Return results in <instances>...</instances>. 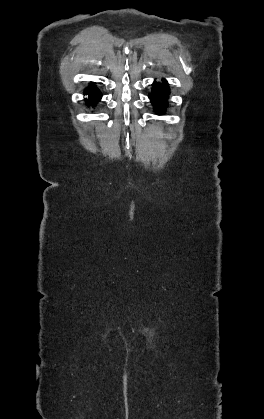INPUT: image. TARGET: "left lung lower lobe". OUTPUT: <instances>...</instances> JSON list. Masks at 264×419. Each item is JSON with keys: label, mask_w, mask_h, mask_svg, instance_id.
<instances>
[{"label": "left lung lower lobe", "mask_w": 264, "mask_h": 419, "mask_svg": "<svg viewBox=\"0 0 264 419\" xmlns=\"http://www.w3.org/2000/svg\"><path fill=\"white\" fill-rule=\"evenodd\" d=\"M168 93L169 90L166 80L163 79L162 84L154 81L150 98L154 108L159 114H162L163 110L167 107L166 98L168 97Z\"/></svg>", "instance_id": "obj_1"}]
</instances>
